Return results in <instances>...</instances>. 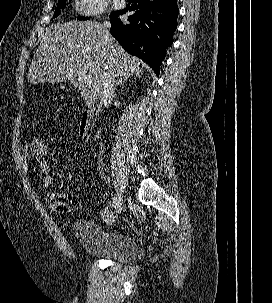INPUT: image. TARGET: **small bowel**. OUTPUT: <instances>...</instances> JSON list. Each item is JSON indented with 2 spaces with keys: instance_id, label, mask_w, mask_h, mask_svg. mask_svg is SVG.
Listing matches in <instances>:
<instances>
[{
  "instance_id": "small-bowel-1",
  "label": "small bowel",
  "mask_w": 272,
  "mask_h": 303,
  "mask_svg": "<svg viewBox=\"0 0 272 303\" xmlns=\"http://www.w3.org/2000/svg\"><path fill=\"white\" fill-rule=\"evenodd\" d=\"M20 159L23 164V168L27 174H33L38 179L42 181L45 187H49L52 182V177L50 170L47 172H41L37 169H32L30 167V162L34 161V154L32 151V144L31 141H29L20 151Z\"/></svg>"
}]
</instances>
